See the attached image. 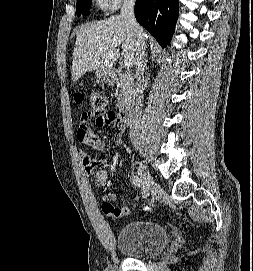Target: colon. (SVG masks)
<instances>
[{"label":"colon","mask_w":253,"mask_h":271,"mask_svg":"<svg viewBox=\"0 0 253 271\" xmlns=\"http://www.w3.org/2000/svg\"><path fill=\"white\" fill-rule=\"evenodd\" d=\"M85 96L83 94H79L76 96V102L77 103H81L82 101H84ZM90 99V103H91V107H92V114H97V115H101L104 114L107 116L108 119L110 120H115V114L112 111H105L106 108V98L103 94L101 93H92L89 97ZM104 207H109L108 204L103 205ZM102 206V207H103ZM145 211H151V208L149 206H145L144 207Z\"/></svg>","instance_id":"1"}]
</instances>
